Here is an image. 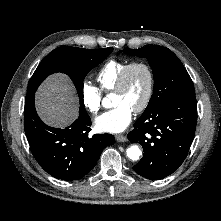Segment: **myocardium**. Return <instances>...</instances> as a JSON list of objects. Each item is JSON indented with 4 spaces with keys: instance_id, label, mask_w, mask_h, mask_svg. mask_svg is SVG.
<instances>
[{
    "instance_id": "obj_1",
    "label": "myocardium",
    "mask_w": 221,
    "mask_h": 221,
    "mask_svg": "<svg viewBox=\"0 0 221 221\" xmlns=\"http://www.w3.org/2000/svg\"><path fill=\"white\" fill-rule=\"evenodd\" d=\"M135 67L143 68L147 74V77H148V87H147L145 97H144L143 101L141 102V104L134 109L135 113H141L148 107V105L152 99L153 92H154V84H155L154 72H153L151 66L147 62L142 61V60H137V61H132V62L128 63L124 67V69L122 70V72L118 78L117 84L113 90V93H118V92H121L124 90L126 83H127L129 73Z\"/></svg>"
}]
</instances>
